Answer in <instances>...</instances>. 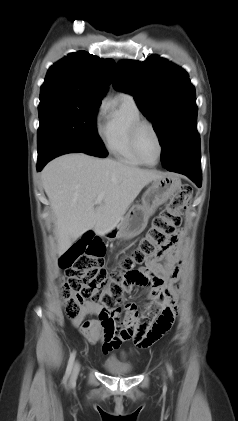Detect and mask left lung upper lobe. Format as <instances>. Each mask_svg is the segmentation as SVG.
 I'll list each match as a JSON object with an SVG mask.
<instances>
[{"label": "left lung upper lobe", "mask_w": 238, "mask_h": 421, "mask_svg": "<svg viewBox=\"0 0 238 421\" xmlns=\"http://www.w3.org/2000/svg\"><path fill=\"white\" fill-rule=\"evenodd\" d=\"M113 85L133 95L152 121L164 167L200 144L195 89L184 69L157 55L143 62L124 60L117 66Z\"/></svg>", "instance_id": "5c2ea615"}]
</instances>
